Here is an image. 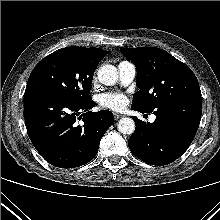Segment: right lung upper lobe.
<instances>
[{"label": "right lung upper lobe", "instance_id": "right-lung-upper-lobe-1", "mask_svg": "<svg viewBox=\"0 0 220 220\" xmlns=\"http://www.w3.org/2000/svg\"><path fill=\"white\" fill-rule=\"evenodd\" d=\"M85 59H88L92 62H99L108 54L107 51H104L99 48H85V47H74Z\"/></svg>", "mask_w": 220, "mask_h": 220}]
</instances>
